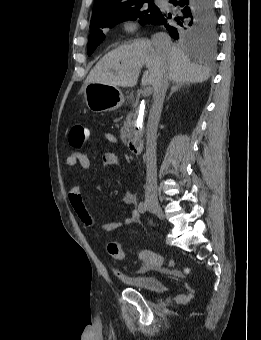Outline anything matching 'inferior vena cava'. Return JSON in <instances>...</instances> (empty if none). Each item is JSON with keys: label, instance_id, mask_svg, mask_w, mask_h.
Segmentation results:
<instances>
[{"label": "inferior vena cava", "instance_id": "obj_1", "mask_svg": "<svg viewBox=\"0 0 261 340\" xmlns=\"http://www.w3.org/2000/svg\"><path fill=\"white\" fill-rule=\"evenodd\" d=\"M152 43L158 53H167L172 47L170 37L165 33H156L152 36ZM168 88L166 77L155 86L153 104L150 109L146 133V187L145 197L157 199V129L160 120L165 94Z\"/></svg>", "mask_w": 261, "mask_h": 340}]
</instances>
